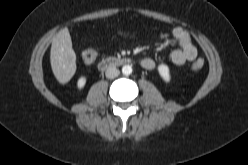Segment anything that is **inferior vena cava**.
I'll return each instance as SVG.
<instances>
[{
  "instance_id": "obj_1",
  "label": "inferior vena cava",
  "mask_w": 248,
  "mask_h": 165,
  "mask_svg": "<svg viewBox=\"0 0 248 165\" xmlns=\"http://www.w3.org/2000/svg\"><path fill=\"white\" fill-rule=\"evenodd\" d=\"M119 74H120V71L116 67H109L105 73V75L108 79H113V78L119 76Z\"/></svg>"
}]
</instances>
